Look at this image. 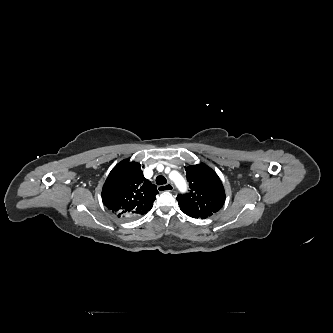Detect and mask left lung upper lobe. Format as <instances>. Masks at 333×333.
<instances>
[{
  "mask_svg": "<svg viewBox=\"0 0 333 333\" xmlns=\"http://www.w3.org/2000/svg\"><path fill=\"white\" fill-rule=\"evenodd\" d=\"M185 170L190 191L177 196L181 210L201 219L219 211L225 202V191L218 175L203 163L185 167Z\"/></svg>",
  "mask_w": 333,
  "mask_h": 333,
  "instance_id": "obj_1",
  "label": "left lung upper lobe"
}]
</instances>
